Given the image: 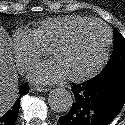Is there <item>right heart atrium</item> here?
<instances>
[{
  "label": "right heart atrium",
  "mask_w": 125,
  "mask_h": 125,
  "mask_svg": "<svg viewBox=\"0 0 125 125\" xmlns=\"http://www.w3.org/2000/svg\"><path fill=\"white\" fill-rule=\"evenodd\" d=\"M15 61L21 70L29 69L44 54L45 48L38 42L30 29H16L10 40Z\"/></svg>",
  "instance_id": "1"
}]
</instances>
